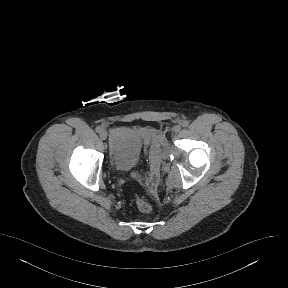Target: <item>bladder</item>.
Returning <instances> with one entry per match:
<instances>
[{
    "label": "bladder",
    "instance_id": "obj_1",
    "mask_svg": "<svg viewBox=\"0 0 288 288\" xmlns=\"http://www.w3.org/2000/svg\"><path fill=\"white\" fill-rule=\"evenodd\" d=\"M109 160L118 171H130L142 155L154 152L148 131L136 127H117L109 135Z\"/></svg>",
    "mask_w": 288,
    "mask_h": 288
}]
</instances>
